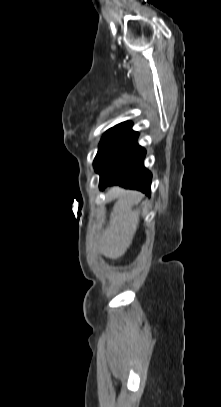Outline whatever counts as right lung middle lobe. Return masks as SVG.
Here are the masks:
<instances>
[{"mask_svg": "<svg viewBox=\"0 0 221 407\" xmlns=\"http://www.w3.org/2000/svg\"><path fill=\"white\" fill-rule=\"evenodd\" d=\"M136 133L137 132L131 130V128H114L108 130L99 144V150L94 159L95 171L100 173L121 150L124 144Z\"/></svg>", "mask_w": 221, "mask_h": 407, "instance_id": "obj_1", "label": "right lung middle lobe"}]
</instances>
